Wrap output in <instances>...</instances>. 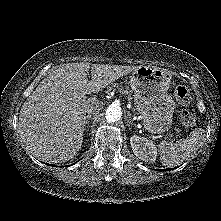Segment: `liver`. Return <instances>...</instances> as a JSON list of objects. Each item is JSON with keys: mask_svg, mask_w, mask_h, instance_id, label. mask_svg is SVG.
<instances>
[{"mask_svg": "<svg viewBox=\"0 0 221 221\" xmlns=\"http://www.w3.org/2000/svg\"><path fill=\"white\" fill-rule=\"evenodd\" d=\"M136 68L82 62L54 70L20 110L19 134L26 149L48 163L74 158L82 146L86 110L102 105L97 98L85 95L98 93ZM89 70L91 80L87 78Z\"/></svg>", "mask_w": 221, "mask_h": 221, "instance_id": "obj_1", "label": "liver"}]
</instances>
